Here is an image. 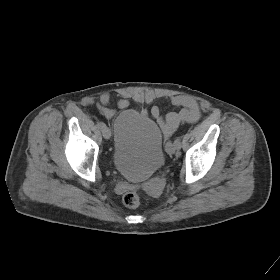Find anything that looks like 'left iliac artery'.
<instances>
[{
	"label": "left iliac artery",
	"instance_id": "obj_1",
	"mask_svg": "<svg viewBox=\"0 0 280 280\" xmlns=\"http://www.w3.org/2000/svg\"><path fill=\"white\" fill-rule=\"evenodd\" d=\"M174 144L177 146V148H179V147H180V145H181V141H180V139H179V138H177V139L174 141Z\"/></svg>",
	"mask_w": 280,
	"mask_h": 280
}]
</instances>
